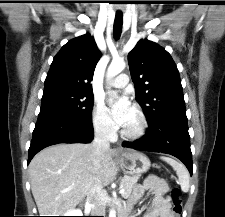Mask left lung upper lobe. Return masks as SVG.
<instances>
[{"label": "left lung upper lobe", "instance_id": "5c2ea615", "mask_svg": "<svg viewBox=\"0 0 225 217\" xmlns=\"http://www.w3.org/2000/svg\"><path fill=\"white\" fill-rule=\"evenodd\" d=\"M136 100L149 124L186 115L179 72L171 55L158 44L140 40L128 54Z\"/></svg>", "mask_w": 225, "mask_h": 217}]
</instances>
